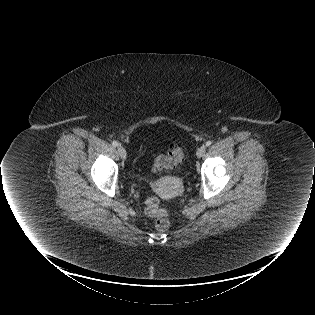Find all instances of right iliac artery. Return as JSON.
<instances>
[{
    "instance_id": "obj_1",
    "label": "right iliac artery",
    "mask_w": 315,
    "mask_h": 315,
    "mask_svg": "<svg viewBox=\"0 0 315 315\" xmlns=\"http://www.w3.org/2000/svg\"><path fill=\"white\" fill-rule=\"evenodd\" d=\"M112 145L115 146V147H116V146H120V144H119L117 141H113V142H112Z\"/></svg>"
}]
</instances>
